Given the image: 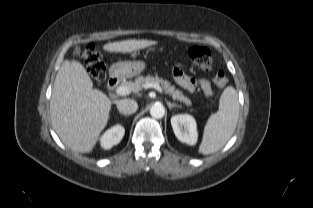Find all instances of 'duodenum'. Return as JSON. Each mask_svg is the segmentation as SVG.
<instances>
[{
    "label": "duodenum",
    "instance_id": "1",
    "mask_svg": "<svg viewBox=\"0 0 313 208\" xmlns=\"http://www.w3.org/2000/svg\"><path fill=\"white\" fill-rule=\"evenodd\" d=\"M119 80H120V75L119 73L117 72L116 69H113L110 73V76H109V79H108V82H107V88L109 91H113L118 83H119Z\"/></svg>",
    "mask_w": 313,
    "mask_h": 208
}]
</instances>
